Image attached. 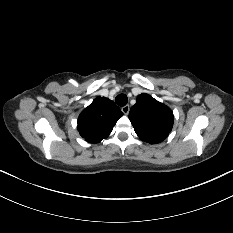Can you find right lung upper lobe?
<instances>
[{
  "label": "right lung upper lobe",
  "mask_w": 233,
  "mask_h": 233,
  "mask_svg": "<svg viewBox=\"0 0 233 233\" xmlns=\"http://www.w3.org/2000/svg\"><path fill=\"white\" fill-rule=\"evenodd\" d=\"M123 115L116 104L105 97H97L78 118V131L89 143L106 138Z\"/></svg>",
  "instance_id": "1"
}]
</instances>
